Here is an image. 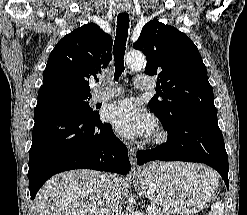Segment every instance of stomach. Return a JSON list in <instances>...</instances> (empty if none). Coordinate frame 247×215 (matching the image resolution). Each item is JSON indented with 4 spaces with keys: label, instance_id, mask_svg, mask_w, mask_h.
<instances>
[{
    "label": "stomach",
    "instance_id": "obj_1",
    "mask_svg": "<svg viewBox=\"0 0 247 215\" xmlns=\"http://www.w3.org/2000/svg\"><path fill=\"white\" fill-rule=\"evenodd\" d=\"M197 165V164H195ZM156 162L138 175L135 189L172 215H193L214 195L217 178L203 165Z\"/></svg>",
    "mask_w": 247,
    "mask_h": 215
}]
</instances>
